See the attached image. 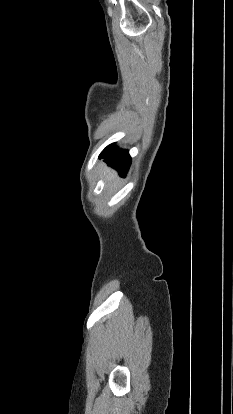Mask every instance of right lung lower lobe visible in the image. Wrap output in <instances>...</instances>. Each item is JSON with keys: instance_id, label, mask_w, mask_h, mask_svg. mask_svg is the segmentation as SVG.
<instances>
[{"instance_id": "obj_1", "label": "right lung lower lobe", "mask_w": 233, "mask_h": 414, "mask_svg": "<svg viewBox=\"0 0 233 414\" xmlns=\"http://www.w3.org/2000/svg\"><path fill=\"white\" fill-rule=\"evenodd\" d=\"M99 158H106V161L118 170L120 176L126 175L131 163L128 151L117 148L114 143L107 146Z\"/></svg>"}]
</instances>
